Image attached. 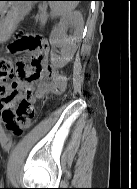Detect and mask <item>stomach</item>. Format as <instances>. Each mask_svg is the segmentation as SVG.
I'll return each instance as SVG.
<instances>
[{"label":"stomach","instance_id":"1","mask_svg":"<svg viewBox=\"0 0 137 189\" xmlns=\"http://www.w3.org/2000/svg\"><path fill=\"white\" fill-rule=\"evenodd\" d=\"M17 7L18 5L15 2H9L0 10V29L4 31V29L10 28L13 18L15 19L18 15L15 10Z\"/></svg>","mask_w":137,"mask_h":189}]
</instances>
